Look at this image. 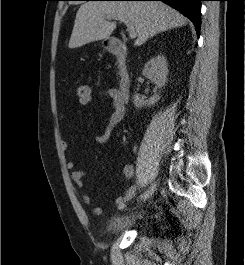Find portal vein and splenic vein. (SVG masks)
Listing matches in <instances>:
<instances>
[{"instance_id": "1", "label": "portal vein and splenic vein", "mask_w": 245, "mask_h": 265, "mask_svg": "<svg viewBox=\"0 0 245 265\" xmlns=\"http://www.w3.org/2000/svg\"><path fill=\"white\" fill-rule=\"evenodd\" d=\"M107 19L119 20V21L123 22L127 27L129 37L131 39L136 38L137 33L135 31V27H134L133 23L129 19H127L126 17L120 16V15H113V16H108Z\"/></svg>"}]
</instances>
